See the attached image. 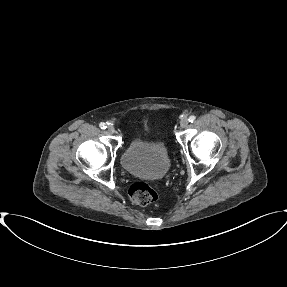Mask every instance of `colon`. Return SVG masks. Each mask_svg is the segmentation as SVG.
<instances>
[{
	"label": "colon",
	"instance_id": "colon-1",
	"mask_svg": "<svg viewBox=\"0 0 287 287\" xmlns=\"http://www.w3.org/2000/svg\"><path fill=\"white\" fill-rule=\"evenodd\" d=\"M131 200L142 206L156 202L158 196L156 190L144 182H136L129 188Z\"/></svg>",
	"mask_w": 287,
	"mask_h": 287
}]
</instances>
